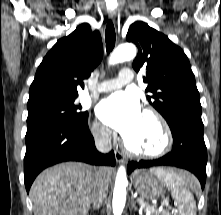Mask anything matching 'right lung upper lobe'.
<instances>
[{
  "label": "right lung upper lobe",
  "mask_w": 221,
  "mask_h": 215,
  "mask_svg": "<svg viewBox=\"0 0 221 215\" xmlns=\"http://www.w3.org/2000/svg\"><path fill=\"white\" fill-rule=\"evenodd\" d=\"M103 46L100 33L87 23L57 41L43 58L29 90L28 106L76 99L77 87L100 63Z\"/></svg>",
  "instance_id": "right-lung-upper-lobe-1"
}]
</instances>
